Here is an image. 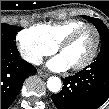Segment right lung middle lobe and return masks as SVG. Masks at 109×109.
I'll list each match as a JSON object with an SVG mask.
<instances>
[{"mask_svg":"<svg viewBox=\"0 0 109 109\" xmlns=\"http://www.w3.org/2000/svg\"><path fill=\"white\" fill-rule=\"evenodd\" d=\"M22 30L21 27L12 26L9 24L1 23V43L16 48L15 35L17 31Z\"/></svg>","mask_w":109,"mask_h":109,"instance_id":"dd1d6c3e","label":"right lung middle lobe"}]
</instances>
